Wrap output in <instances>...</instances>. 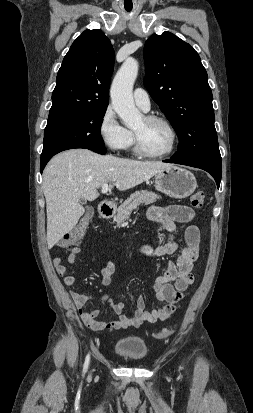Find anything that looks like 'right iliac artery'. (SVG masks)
Instances as JSON below:
<instances>
[{
  "mask_svg": "<svg viewBox=\"0 0 253 413\" xmlns=\"http://www.w3.org/2000/svg\"><path fill=\"white\" fill-rule=\"evenodd\" d=\"M89 360H90V356L89 354L86 356L85 362H84V367H83V373H85L87 371L88 365H89Z\"/></svg>",
  "mask_w": 253,
  "mask_h": 413,
  "instance_id": "1",
  "label": "right iliac artery"
}]
</instances>
